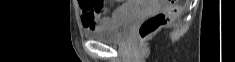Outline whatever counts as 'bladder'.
I'll list each match as a JSON object with an SVG mask.
<instances>
[{"mask_svg": "<svg viewBox=\"0 0 235 62\" xmlns=\"http://www.w3.org/2000/svg\"><path fill=\"white\" fill-rule=\"evenodd\" d=\"M140 6L135 2H129L119 9L107 22L101 26L86 32L89 39L105 43H119L126 39L131 27L138 20Z\"/></svg>", "mask_w": 235, "mask_h": 62, "instance_id": "31cf9c89", "label": "bladder"}]
</instances>
